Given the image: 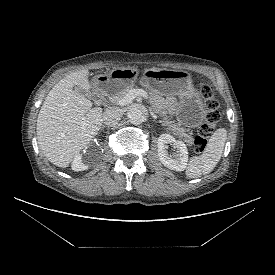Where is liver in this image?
<instances>
[{
	"label": "liver",
	"mask_w": 275,
	"mask_h": 275,
	"mask_svg": "<svg viewBox=\"0 0 275 275\" xmlns=\"http://www.w3.org/2000/svg\"><path fill=\"white\" fill-rule=\"evenodd\" d=\"M87 69L66 75L49 91L37 119V140L44 156L66 168L73 158L97 135L103 122L100 107L73 88L89 91Z\"/></svg>",
	"instance_id": "1"
}]
</instances>
